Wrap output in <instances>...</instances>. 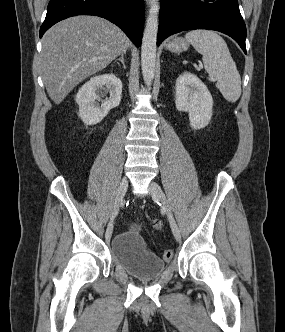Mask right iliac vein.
I'll use <instances>...</instances> for the list:
<instances>
[{
	"mask_svg": "<svg viewBox=\"0 0 285 332\" xmlns=\"http://www.w3.org/2000/svg\"><path fill=\"white\" fill-rule=\"evenodd\" d=\"M128 188V180L126 177H123L120 185L118 187L117 190V194H116V199H115V206H114V210L119 208V206L122 204V200L126 194ZM114 212V211H113ZM114 220V219H113ZM113 220H111V222L109 223L107 229H106V233H105V237L106 240H109L111 235H112V231H113Z\"/></svg>",
	"mask_w": 285,
	"mask_h": 332,
	"instance_id": "1",
	"label": "right iliac vein"
}]
</instances>
